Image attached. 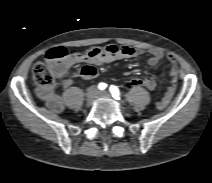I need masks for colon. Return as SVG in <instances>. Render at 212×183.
I'll return each mask as SVG.
<instances>
[{"mask_svg":"<svg viewBox=\"0 0 212 183\" xmlns=\"http://www.w3.org/2000/svg\"><path fill=\"white\" fill-rule=\"evenodd\" d=\"M68 55L64 47H55L49 49L44 55V61L38 62L32 69V77L35 83L41 87H49L53 84L55 73L53 65L65 59ZM148 87L145 79L131 78L125 82V88Z\"/></svg>","mask_w":212,"mask_h":183,"instance_id":"5ec220e1","label":"colon"}]
</instances>
